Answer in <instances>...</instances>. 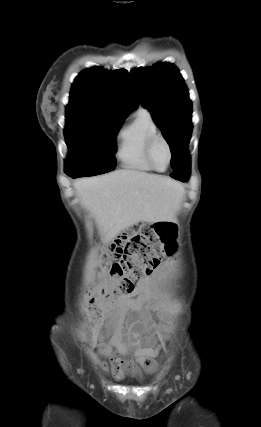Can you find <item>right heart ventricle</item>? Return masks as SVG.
<instances>
[{"label": "right heart ventricle", "mask_w": 261, "mask_h": 427, "mask_svg": "<svg viewBox=\"0 0 261 427\" xmlns=\"http://www.w3.org/2000/svg\"><path fill=\"white\" fill-rule=\"evenodd\" d=\"M158 133L157 125L146 109H139L117 136L116 157L124 168L153 171L145 155L148 139Z\"/></svg>", "instance_id": "e07e8e85"}]
</instances>
